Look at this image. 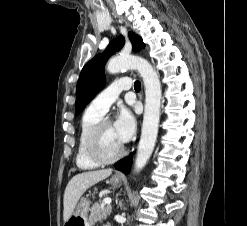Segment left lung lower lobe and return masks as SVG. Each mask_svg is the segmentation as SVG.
<instances>
[{"label": "left lung lower lobe", "mask_w": 247, "mask_h": 226, "mask_svg": "<svg viewBox=\"0 0 247 226\" xmlns=\"http://www.w3.org/2000/svg\"><path fill=\"white\" fill-rule=\"evenodd\" d=\"M131 164L132 159L130 157H125L117 163L116 169L122 171L125 174H128Z\"/></svg>", "instance_id": "obj_1"}]
</instances>
